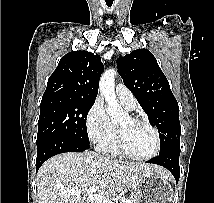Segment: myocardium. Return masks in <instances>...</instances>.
<instances>
[{
	"mask_svg": "<svg viewBox=\"0 0 214 203\" xmlns=\"http://www.w3.org/2000/svg\"><path fill=\"white\" fill-rule=\"evenodd\" d=\"M128 117L132 122L144 124L153 131L154 136H155V148H154V151L147 156H136V155L132 154L128 150V148L125 144L123 129L120 126H118L117 145H118V149H119L120 153L123 154L125 157L132 159V160H136V161H149V160L155 158L159 154L160 148H161V137H160L158 129L153 124H151L148 120H146L144 118H140V117H136V116H128Z\"/></svg>",
	"mask_w": 214,
	"mask_h": 203,
	"instance_id": "f54148a6",
	"label": "myocardium"
}]
</instances>
